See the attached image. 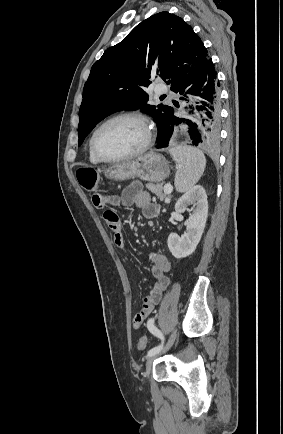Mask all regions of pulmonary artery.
Wrapping results in <instances>:
<instances>
[{
	"label": "pulmonary artery",
	"mask_w": 283,
	"mask_h": 434,
	"mask_svg": "<svg viewBox=\"0 0 283 434\" xmlns=\"http://www.w3.org/2000/svg\"><path fill=\"white\" fill-rule=\"evenodd\" d=\"M167 92H168V88L166 87L165 84H158V85L155 87V93H156L157 95H162V94H165V93H167Z\"/></svg>",
	"instance_id": "pulmonary-artery-1"
}]
</instances>
